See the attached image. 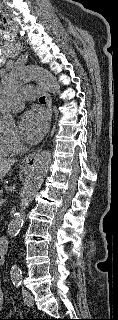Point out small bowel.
Instances as JSON below:
<instances>
[{
    "instance_id": "c3829d8e",
    "label": "small bowel",
    "mask_w": 118,
    "mask_h": 320,
    "mask_svg": "<svg viewBox=\"0 0 118 320\" xmlns=\"http://www.w3.org/2000/svg\"><path fill=\"white\" fill-rule=\"evenodd\" d=\"M3 305H4V295H3V291H2V287H1V282H0V312L3 309Z\"/></svg>"
}]
</instances>
